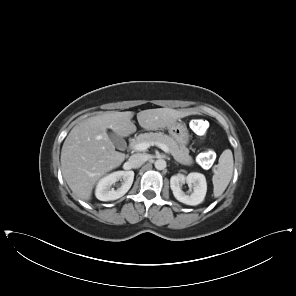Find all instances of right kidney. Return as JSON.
Wrapping results in <instances>:
<instances>
[{
  "instance_id": "right-kidney-1",
  "label": "right kidney",
  "mask_w": 296,
  "mask_h": 296,
  "mask_svg": "<svg viewBox=\"0 0 296 296\" xmlns=\"http://www.w3.org/2000/svg\"><path fill=\"white\" fill-rule=\"evenodd\" d=\"M123 179L121 187L117 190L111 189V186ZM134 180L133 171H116L101 178L97 183L95 196L100 201H113L124 196L131 188Z\"/></svg>"
}]
</instances>
